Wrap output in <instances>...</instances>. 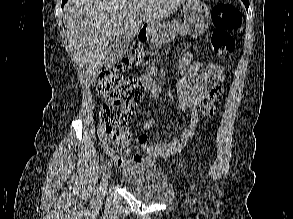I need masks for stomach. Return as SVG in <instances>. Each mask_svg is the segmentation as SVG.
Returning a JSON list of instances; mask_svg holds the SVG:
<instances>
[{
    "instance_id": "1",
    "label": "stomach",
    "mask_w": 293,
    "mask_h": 219,
    "mask_svg": "<svg viewBox=\"0 0 293 219\" xmlns=\"http://www.w3.org/2000/svg\"><path fill=\"white\" fill-rule=\"evenodd\" d=\"M183 18L187 33L192 37L201 36L208 27L209 9L200 0H188L183 6ZM164 25L150 27L149 32L155 35L164 29Z\"/></svg>"
}]
</instances>
